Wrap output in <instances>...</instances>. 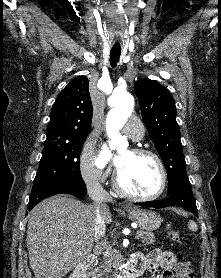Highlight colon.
I'll return each mask as SVG.
<instances>
[{"instance_id": "1", "label": "colon", "mask_w": 221, "mask_h": 278, "mask_svg": "<svg viewBox=\"0 0 221 278\" xmlns=\"http://www.w3.org/2000/svg\"><path fill=\"white\" fill-rule=\"evenodd\" d=\"M167 237L173 244L180 245L182 243L180 233L176 230L168 231ZM193 277H194V273L189 264H181L179 266L177 278H193Z\"/></svg>"}]
</instances>
